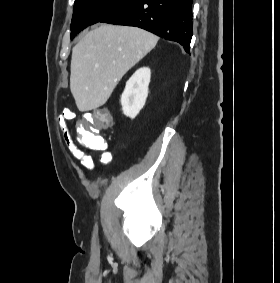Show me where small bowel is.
<instances>
[{
    "label": "small bowel",
    "mask_w": 280,
    "mask_h": 283,
    "mask_svg": "<svg viewBox=\"0 0 280 283\" xmlns=\"http://www.w3.org/2000/svg\"><path fill=\"white\" fill-rule=\"evenodd\" d=\"M73 118H74L73 112L72 113L63 112L59 117L58 122L63 133V139L70 153L80 161V165L82 166V168L90 171L94 168V159L90 155L84 153L75 144L68 125L69 121L72 120ZM111 158H112L111 154L107 152L104 147L102 153L99 156L100 164L101 165L109 164Z\"/></svg>",
    "instance_id": "small-bowel-1"
}]
</instances>
